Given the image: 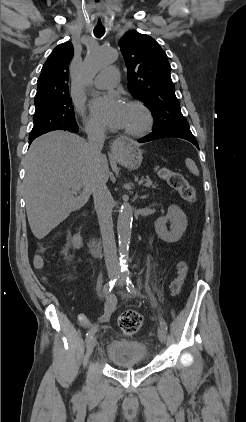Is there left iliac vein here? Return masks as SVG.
<instances>
[{"label": "left iliac vein", "mask_w": 246, "mask_h": 422, "mask_svg": "<svg viewBox=\"0 0 246 422\" xmlns=\"http://www.w3.org/2000/svg\"><path fill=\"white\" fill-rule=\"evenodd\" d=\"M123 284H124V277H122V278L120 279V281L118 282V285H119V286H123ZM158 338H159V340H160V342H161V343H164V342H165V340H166L165 331L163 330V328H162V327H160V328L158 329Z\"/></svg>", "instance_id": "1"}]
</instances>
